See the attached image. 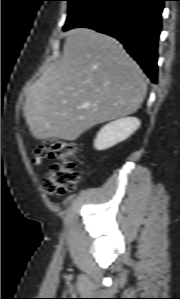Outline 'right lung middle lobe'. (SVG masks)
<instances>
[{"instance_id":"right-lung-middle-lobe-1","label":"right lung middle lobe","mask_w":180,"mask_h":299,"mask_svg":"<svg viewBox=\"0 0 180 299\" xmlns=\"http://www.w3.org/2000/svg\"><path fill=\"white\" fill-rule=\"evenodd\" d=\"M69 2L68 17L63 30L87 13L103 0H67Z\"/></svg>"}]
</instances>
